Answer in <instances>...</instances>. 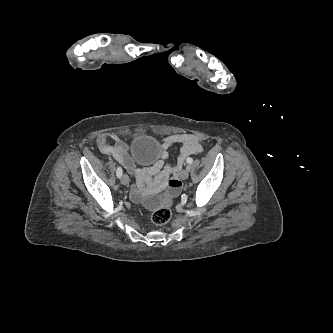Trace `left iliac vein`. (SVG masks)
Listing matches in <instances>:
<instances>
[{
  "label": "left iliac vein",
  "mask_w": 333,
  "mask_h": 333,
  "mask_svg": "<svg viewBox=\"0 0 333 333\" xmlns=\"http://www.w3.org/2000/svg\"><path fill=\"white\" fill-rule=\"evenodd\" d=\"M189 177V171L188 169H183L181 172H180V178L182 180H186L187 178Z\"/></svg>",
  "instance_id": "left-iliac-vein-1"
}]
</instances>
